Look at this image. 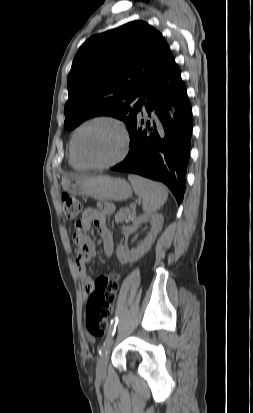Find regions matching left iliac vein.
I'll list each match as a JSON object with an SVG mask.
<instances>
[{"label": "left iliac vein", "instance_id": "left-iliac-vein-1", "mask_svg": "<svg viewBox=\"0 0 253 413\" xmlns=\"http://www.w3.org/2000/svg\"><path fill=\"white\" fill-rule=\"evenodd\" d=\"M108 359H109V347L105 350L103 354H101L97 362L96 374L99 378H103L106 375Z\"/></svg>", "mask_w": 253, "mask_h": 413}]
</instances>
